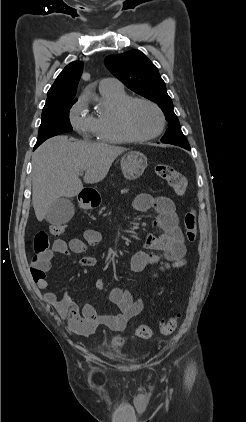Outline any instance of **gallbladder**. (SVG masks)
Returning <instances> with one entry per match:
<instances>
[{"instance_id": "obj_1", "label": "gallbladder", "mask_w": 246, "mask_h": 422, "mask_svg": "<svg viewBox=\"0 0 246 422\" xmlns=\"http://www.w3.org/2000/svg\"><path fill=\"white\" fill-rule=\"evenodd\" d=\"M74 215V205L67 197L58 198L49 208L46 220L53 225H62L71 220Z\"/></svg>"}]
</instances>
